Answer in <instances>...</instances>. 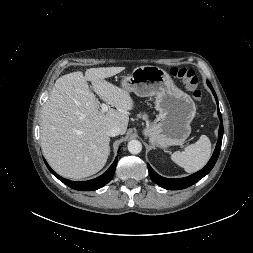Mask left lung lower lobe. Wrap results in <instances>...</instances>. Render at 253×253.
<instances>
[{"label": "left lung lower lobe", "mask_w": 253, "mask_h": 253, "mask_svg": "<svg viewBox=\"0 0 253 253\" xmlns=\"http://www.w3.org/2000/svg\"><path fill=\"white\" fill-rule=\"evenodd\" d=\"M207 84H208L209 88L212 90V93H213V95L216 99L217 105H218V99H217L216 93H215L211 83L209 81H207ZM218 116L220 119L218 142H217L214 154L212 155V157L209 160V162L207 163V165L203 169H201L200 171H198L188 177L179 178V179H168V178H164V177L158 175L151 168V166L148 164L149 174H150V177L153 180V182H155L159 186H161L165 189H168V190H180V189H184V188H187V187L195 184L196 182H198L200 179H202L204 176H206L212 170V168L214 167V165L218 159L220 149H221V144H222V137H223V123H222V116L219 111V107H218Z\"/></svg>", "instance_id": "left-lung-lower-lobe-1"}]
</instances>
